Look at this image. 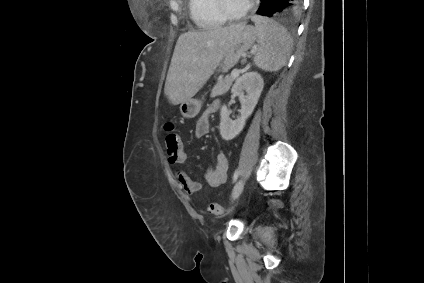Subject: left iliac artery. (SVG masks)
I'll use <instances>...</instances> for the list:
<instances>
[{"instance_id":"left-iliac-artery-1","label":"left iliac artery","mask_w":424,"mask_h":283,"mask_svg":"<svg viewBox=\"0 0 424 283\" xmlns=\"http://www.w3.org/2000/svg\"><path fill=\"white\" fill-rule=\"evenodd\" d=\"M238 175H239V171H238V169H236V171L234 172V175H233V182H235L237 180Z\"/></svg>"}]
</instances>
